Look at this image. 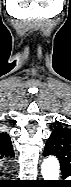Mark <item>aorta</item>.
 Wrapping results in <instances>:
<instances>
[{"instance_id":"1","label":"aorta","mask_w":71,"mask_h":187,"mask_svg":"<svg viewBox=\"0 0 71 187\" xmlns=\"http://www.w3.org/2000/svg\"><path fill=\"white\" fill-rule=\"evenodd\" d=\"M41 173L44 180H58L60 173L59 161L54 156L46 158L41 166Z\"/></svg>"}]
</instances>
